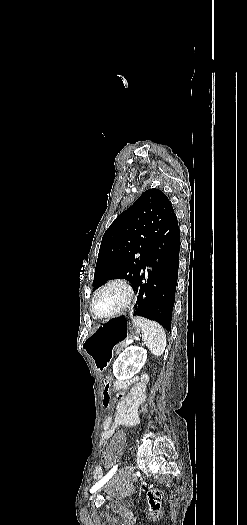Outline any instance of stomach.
<instances>
[{"label":"stomach","mask_w":247,"mask_h":525,"mask_svg":"<svg viewBox=\"0 0 247 525\" xmlns=\"http://www.w3.org/2000/svg\"><path fill=\"white\" fill-rule=\"evenodd\" d=\"M131 319L125 316L110 319L98 325L85 341L83 348L98 371L107 368L115 346L125 339L138 335L139 328Z\"/></svg>","instance_id":"stomach-1"}]
</instances>
